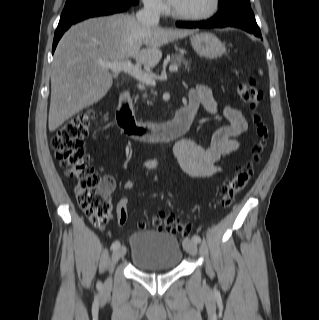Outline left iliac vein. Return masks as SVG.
<instances>
[{"label":"left iliac vein","instance_id":"obj_1","mask_svg":"<svg viewBox=\"0 0 319 320\" xmlns=\"http://www.w3.org/2000/svg\"><path fill=\"white\" fill-rule=\"evenodd\" d=\"M185 250L192 256H195L197 254V243L193 240L186 239L183 242Z\"/></svg>","mask_w":319,"mask_h":320}]
</instances>
